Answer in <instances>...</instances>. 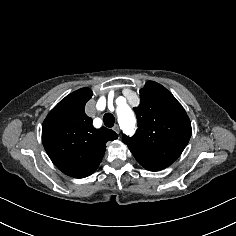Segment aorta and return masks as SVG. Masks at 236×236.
I'll return each mask as SVG.
<instances>
[{
	"instance_id": "aorta-1",
	"label": "aorta",
	"mask_w": 236,
	"mask_h": 236,
	"mask_svg": "<svg viewBox=\"0 0 236 236\" xmlns=\"http://www.w3.org/2000/svg\"><path fill=\"white\" fill-rule=\"evenodd\" d=\"M117 116L120 127L125 133H133L135 131L136 119L128 105L119 106L117 108Z\"/></svg>"
}]
</instances>
